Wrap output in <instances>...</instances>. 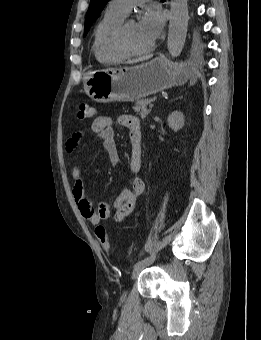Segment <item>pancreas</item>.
<instances>
[{"label": "pancreas", "mask_w": 261, "mask_h": 340, "mask_svg": "<svg viewBox=\"0 0 261 340\" xmlns=\"http://www.w3.org/2000/svg\"><path fill=\"white\" fill-rule=\"evenodd\" d=\"M152 102V99H142L136 101L133 110L141 116V118H146L148 114L151 112V109H147V105Z\"/></svg>", "instance_id": "1"}]
</instances>
